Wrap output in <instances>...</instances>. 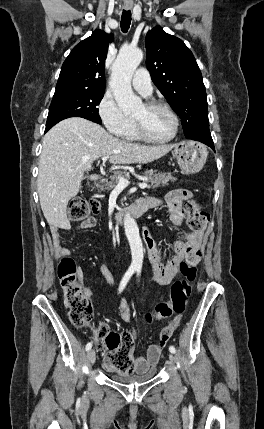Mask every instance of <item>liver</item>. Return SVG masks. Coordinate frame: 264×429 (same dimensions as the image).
<instances>
[{
    "label": "liver",
    "instance_id": "6515ba94",
    "mask_svg": "<svg viewBox=\"0 0 264 429\" xmlns=\"http://www.w3.org/2000/svg\"><path fill=\"white\" fill-rule=\"evenodd\" d=\"M175 145L144 146L113 137L100 125L84 118L65 119L43 138L37 190L50 226L69 230L67 204L80 189L84 172L100 157L112 164L149 163Z\"/></svg>",
    "mask_w": 264,
    "mask_h": 429
}]
</instances>
